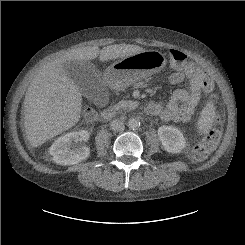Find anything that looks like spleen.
<instances>
[{"mask_svg": "<svg viewBox=\"0 0 245 245\" xmlns=\"http://www.w3.org/2000/svg\"><path fill=\"white\" fill-rule=\"evenodd\" d=\"M215 115V108L212 103H208L201 112V116L197 122L200 133H206L212 126Z\"/></svg>", "mask_w": 245, "mask_h": 245, "instance_id": "1", "label": "spleen"}]
</instances>
